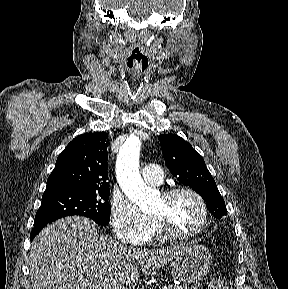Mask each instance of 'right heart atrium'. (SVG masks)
Masks as SVG:
<instances>
[{"label": "right heart atrium", "mask_w": 288, "mask_h": 289, "mask_svg": "<svg viewBox=\"0 0 288 289\" xmlns=\"http://www.w3.org/2000/svg\"><path fill=\"white\" fill-rule=\"evenodd\" d=\"M110 223L114 236L127 244L146 242L153 231V221L142 214L125 196L116 195L112 198Z\"/></svg>", "instance_id": "right-heart-atrium-1"}]
</instances>
